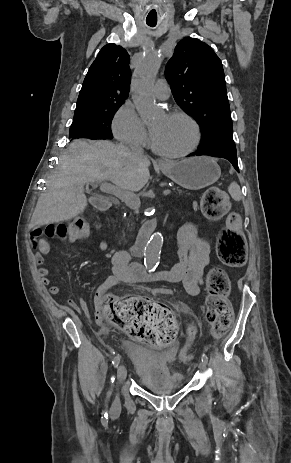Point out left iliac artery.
I'll use <instances>...</instances> for the list:
<instances>
[{
    "label": "left iliac artery",
    "mask_w": 291,
    "mask_h": 463,
    "mask_svg": "<svg viewBox=\"0 0 291 463\" xmlns=\"http://www.w3.org/2000/svg\"><path fill=\"white\" fill-rule=\"evenodd\" d=\"M201 360H202V362H204V363L207 364V362H208V357H207V355H206V354H203L202 357H201Z\"/></svg>",
    "instance_id": "44dca946"
}]
</instances>
